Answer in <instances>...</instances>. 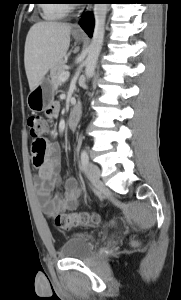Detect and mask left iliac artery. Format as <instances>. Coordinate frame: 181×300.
I'll use <instances>...</instances> for the list:
<instances>
[{"label": "left iliac artery", "mask_w": 181, "mask_h": 300, "mask_svg": "<svg viewBox=\"0 0 181 300\" xmlns=\"http://www.w3.org/2000/svg\"><path fill=\"white\" fill-rule=\"evenodd\" d=\"M89 162V157L88 154L85 150L81 151V164H82V169H85Z\"/></svg>", "instance_id": "44dca946"}]
</instances>
